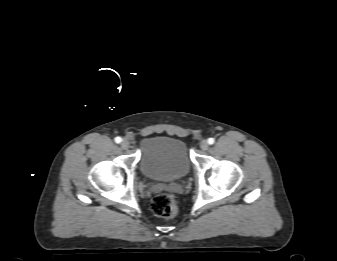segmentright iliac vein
Instances as JSON below:
<instances>
[{"mask_svg": "<svg viewBox=\"0 0 337 261\" xmlns=\"http://www.w3.org/2000/svg\"><path fill=\"white\" fill-rule=\"evenodd\" d=\"M129 146H130V143H129V141H128L127 139H124V140L121 142V147H122L123 149H128Z\"/></svg>", "mask_w": 337, "mask_h": 261, "instance_id": "63e3f726", "label": "right iliac vein"}]
</instances>
